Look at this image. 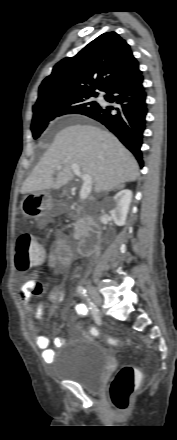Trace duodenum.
<instances>
[{
    "instance_id": "obj_1",
    "label": "duodenum",
    "mask_w": 177,
    "mask_h": 440,
    "mask_svg": "<svg viewBox=\"0 0 177 440\" xmlns=\"http://www.w3.org/2000/svg\"><path fill=\"white\" fill-rule=\"evenodd\" d=\"M87 217L88 227L83 238H81L77 245V250L80 255L88 256L91 255L95 249L98 247L102 239V228L101 225L95 221L92 217Z\"/></svg>"
}]
</instances>
